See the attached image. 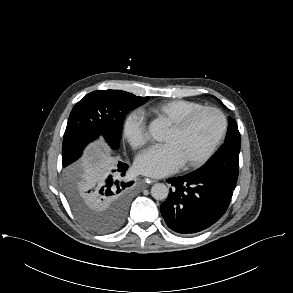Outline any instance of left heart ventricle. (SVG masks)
I'll return each instance as SVG.
<instances>
[{
    "mask_svg": "<svg viewBox=\"0 0 293 293\" xmlns=\"http://www.w3.org/2000/svg\"><path fill=\"white\" fill-rule=\"evenodd\" d=\"M220 129V117L213 112H204L182 132L169 128L163 142L173 145L185 163L201 156L210 147Z\"/></svg>",
    "mask_w": 293,
    "mask_h": 293,
    "instance_id": "b2bd125f",
    "label": "left heart ventricle"
}]
</instances>
